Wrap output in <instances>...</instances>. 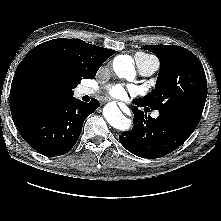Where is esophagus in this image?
<instances>
[{"instance_id":"obj_1","label":"esophagus","mask_w":221,"mask_h":221,"mask_svg":"<svg viewBox=\"0 0 221 221\" xmlns=\"http://www.w3.org/2000/svg\"><path fill=\"white\" fill-rule=\"evenodd\" d=\"M108 101V99H105V102H107ZM123 106H125V104H123Z\"/></svg>"}]
</instances>
